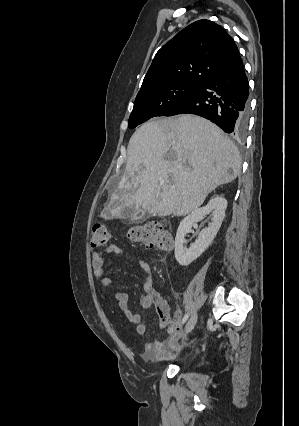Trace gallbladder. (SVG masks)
<instances>
[{"label": "gallbladder", "instance_id": "obj_1", "mask_svg": "<svg viewBox=\"0 0 299 426\" xmlns=\"http://www.w3.org/2000/svg\"><path fill=\"white\" fill-rule=\"evenodd\" d=\"M123 217L131 218V222H142L146 220L149 215L142 209H136L134 207H126L123 209Z\"/></svg>", "mask_w": 299, "mask_h": 426}]
</instances>
